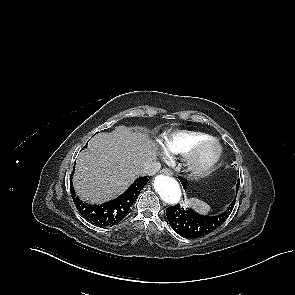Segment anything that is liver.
Wrapping results in <instances>:
<instances>
[{
    "mask_svg": "<svg viewBox=\"0 0 295 295\" xmlns=\"http://www.w3.org/2000/svg\"><path fill=\"white\" fill-rule=\"evenodd\" d=\"M155 160V144L147 134L118 126L95 135L78 155L74 188L83 201L100 204L123 193Z\"/></svg>",
    "mask_w": 295,
    "mask_h": 295,
    "instance_id": "1",
    "label": "liver"
}]
</instances>
